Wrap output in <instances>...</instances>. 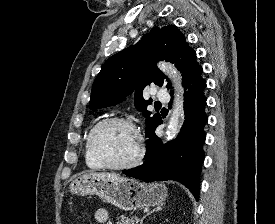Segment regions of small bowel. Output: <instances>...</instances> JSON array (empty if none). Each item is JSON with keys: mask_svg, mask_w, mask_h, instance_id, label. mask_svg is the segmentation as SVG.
Wrapping results in <instances>:
<instances>
[{"mask_svg": "<svg viewBox=\"0 0 275 224\" xmlns=\"http://www.w3.org/2000/svg\"><path fill=\"white\" fill-rule=\"evenodd\" d=\"M94 216L98 224H112L109 220V213L104 208L97 209Z\"/></svg>", "mask_w": 275, "mask_h": 224, "instance_id": "1", "label": "small bowel"}]
</instances>
